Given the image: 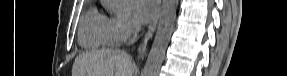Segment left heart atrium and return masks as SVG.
<instances>
[{
    "label": "left heart atrium",
    "mask_w": 287,
    "mask_h": 76,
    "mask_svg": "<svg viewBox=\"0 0 287 76\" xmlns=\"http://www.w3.org/2000/svg\"><path fill=\"white\" fill-rule=\"evenodd\" d=\"M130 5L136 20L146 23L157 13V4L154 0H131Z\"/></svg>",
    "instance_id": "1"
}]
</instances>
